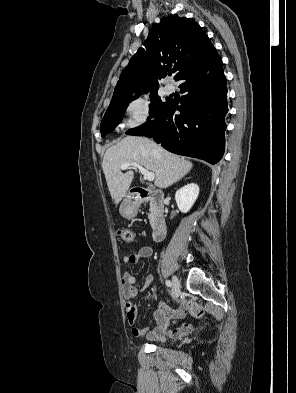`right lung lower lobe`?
Here are the masks:
<instances>
[{
    "mask_svg": "<svg viewBox=\"0 0 296 393\" xmlns=\"http://www.w3.org/2000/svg\"><path fill=\"white\" fill-rule=\"evenodd\" d=\"M177 81H181V91L187 93L181 105L169 98L154 120L126 134L153 137L173 153L216 164L224 153L228 108L222 60L213 45Z\"/></svg>",
    "mask_w": 296,
    "mask_h": 393,
    "instance_id": "obj_1",
    "label": "right lung lower lobe"
}]
</instances>
